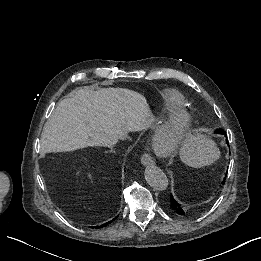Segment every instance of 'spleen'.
Segmentation results:
<instances>
[{
	"instance_id": "1",
	"label": "spleen",
	"mask_w": 261,
	"mask_h": 261,
	"mask_svg": "<svg viewBox=\"0 0 261 261\" xmlns=\"http://www.w3.org/2000/svg\"><path fill=\"white\" fill-rule=\"evenodd\" d=\"M179 154L181 160L193 168L211 165L221 156L215 141L203 134L186 136L182 141Z\"/></svg>"
}]
</instances>
